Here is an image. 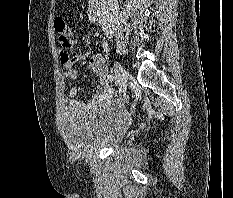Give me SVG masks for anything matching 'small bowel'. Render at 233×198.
I'll list each match as a JSON object with an SVG mask.
<instances>
[{
  "label": "small bowel",
  "mask_w": 233,
  "mask_h": 198,
  "mask_svg": "<svg viewBox=\"0 0 233 198\" xmlns=\"http://www.w3.org/2000/svg\"><path fill=\"white\" fill-rule=\"evenodd\" d=\"M81 41L85 50L75 55H70L67 51V49L73 45V41L70 46L60 43V61L64 68L65 76L68 79L76 80L78 73L74 65L88 58V68L96 72L98 77L97 91L92 95L88 102H83L75 98L78 93V88L72 87L69 91V106L73 110H93L101 103L113 99L114 91L106 75L105 61L103 57L99 54L90 56L88 49L89 39L87 37H82Z\"/></svg>",
  "instance_id": "c3829d8e"
}]
</instances>
